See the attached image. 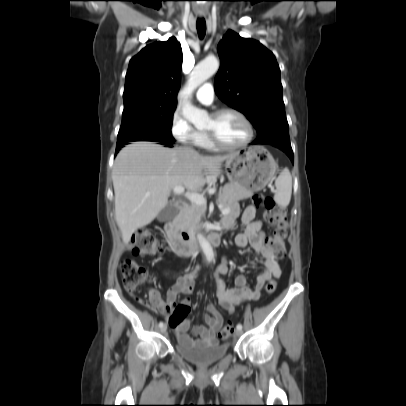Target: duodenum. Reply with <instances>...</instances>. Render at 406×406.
<instances>
[{
    "instance_id": "obj_1",
    "label": "duodenum",
    "mask_w": 406,
    "mask_h": 406,
    "mask_svg": "<svg viewBox=\"0 0 406 406\" xmlns=\"http://www.w3.org/2000/svg\"><path fill=\"white\" fill-rule=\"evenodd\" d=\"M175 208L178 213H182L186 209V204L184 201H177ZM221 226L228 228L230 224L222 223ZM165 232L173 248L181 256L187 257L192 255L199 246V241L196 237L180 231L179 220L176 217L166 222ZM205 238L210 244L218 246L222 241V231L220 229L212 230Z\"/></svg>"
}]
</instances>
